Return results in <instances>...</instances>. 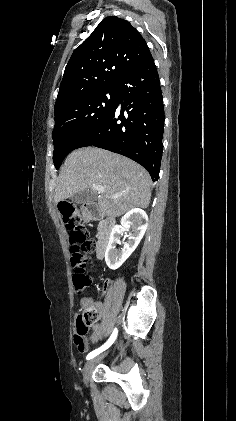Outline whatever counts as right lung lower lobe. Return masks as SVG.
<instances>
[{"mask_svg":"<svg viewBox=\"0 0 236 421\" xmlns=\"http://www.w3.org/2000/svg\"><path fill=\"white\" fill-rule=\"evenodd\" d=\"M115 87L116 106L75 149L93 145L124 155L142 165L157 181L165 117L153 57L127 72Z\"/></svg>","mask_w":236,"mask_h":421,"instance_id":"1","label":"right lung lower lobe"}]
</instances>
